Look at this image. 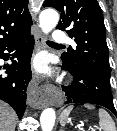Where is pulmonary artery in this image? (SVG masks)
<instances>
[{
  "label": "pulmonary artery",
  "mask_w": 117,
  "mask_h": 131,
  "mask_svg": "<svg viewBox=\"0 0 117 131\" xmlns=\"http://www.w3.org/2000/svg\"><path fill=\"white\" fill-rule=\"evenodd\" d=\"M53 41L55 43H65V42H68L69 39L67 37V35L61 31V30H55L54 33H53Z\"/></svg>",
  "instance_id": "1"
}]
</instances>
